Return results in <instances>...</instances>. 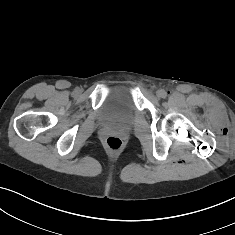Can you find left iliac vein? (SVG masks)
Listing matches in <instances>:
<instances>
[{"label":"left iliac vein","instance_id":"4c4485c4","mask_svg":"<svg viewBox=\"0 0 235 235\" xmlns=\"http://www.w3.org/2000/svg\"><path fill=\"white\" fill-rule=\"evenodd\" d=\"M163 91H164V90H158V91L156 92V96H157L158 98H162V93H163Z\"/></svg>","mask_w":235,"mask_h":235}]
</instances>
